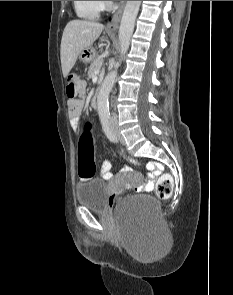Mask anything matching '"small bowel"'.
<instances>
[{
  "label": "small bowel",
  "mask_w": 233,
  "mask_h": 295,
  "mask_svg": "<svg viewBox=\"0 0 233 295\" xmlns=\"http://www.w3.org/2000/svg\"><path fill=\"white\" fill-rule=\"evenodd\" d=\"M83 108L84 101L82 98L68 101V115L73 129L77 128V124L82 116ZM147 169L149 171V181L145 185L138 188V191L140 192H149L153 189L154 180L160 175L162 165L158 162H150L147 164ZM121 171L129 172L130 169L128 167H123ZM101 175L105 180H110L113 178L111 161L109 159L104 161Z\"/></svg>",
  "instance_id": "small-bowel-1"
}]
</instances>
